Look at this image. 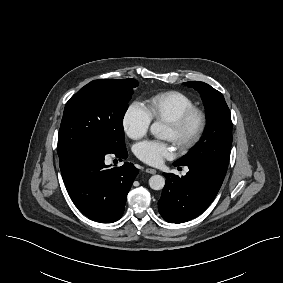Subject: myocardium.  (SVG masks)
<instances>
[{
    "label": "myocardium",
    "mask_w": 283,
    "mask_h": 283,
    "mask_svg": "<svg viewBox=\"0 0 283 283\" xmlns=\"http://www.w3.org/2000/svg\"><path fill=\"white\" fill-rule=\"evenodd\" d=\"M166 125L173 131L171 140L184 150L200 141L206 129L207 117L203 110L193 106L176 118L166 121Z\"/></svg>",
    "instance_id": "1"
}]
</instances>
